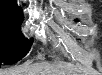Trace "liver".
<instances>
[{"label": "liver", "instance_id": "obj_1", "mask_svg": "<svg viewBox=\"0 0 102 75\" xmlns=\"http://www.w3.org/2000/svg\"><path fill=\"white\" fill-rule=\"evenodd\" d=\"M0 75H67L65 71L46 63L34 64L27 67L1 70Z\"/></svg>", "mask_w": 102, "mask_h": 75}]
</instances>
